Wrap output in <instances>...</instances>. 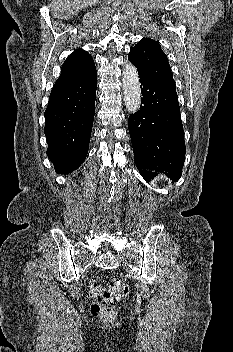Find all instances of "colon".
Here are the masks:
<instances>
[{"instance_id":"obj_1","label":"colon","mask_w":233,"mask_h":352,"mask_svg":"<svg viewBox=\"0 0 233 352\" xmlns=\"http://www.w3.org/2000/svg\"><path fill=\"white\" fill-rule=\"evenodd\" d=\"M88 292L93 299L90 311L93 315H102L107 319L115 316V309L112 305L116 301L125 299L130 294L128 284L122 280H113L107 287L95 282L89 284Z\"/></svg>"}]
</instances>
